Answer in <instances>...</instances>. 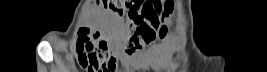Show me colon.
<instances>
[{
  "label": "colon",
  "instance_id": "obj_1",
  "mask_svg": "<svg viewBox=\"0 0 267 72\" xmlns=\"http://www.w3.org/2000/svg\"><path fill=\"white\" fill-rule=\"evenodd\" d=\"M100 3L118 14H127V24L131 35L123 42V46L128 54L139 52L146 43L167 34V28L163 22L171 12V5L168 1L102 0ZM78 43L83 62L93 72L114 70L115 66L106 63V51L109 46L104 38L93 46L89 36L81 30Z\"/></svg>",
  "mask_w": 267,
  "mask_h": 72
}]
</instances>
